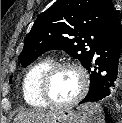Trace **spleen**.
<instances>
[{"label":"spleen","instance_id":"1","mask_svg":"<svg viewBox=\"0 0 122 123\" xmlns=\"http://www.w3.org/2000/svg\"><path fill=\"white\" fill-rule=\"evenodd\" d=\"M80 109L88 116L90 123H105L103 109L97 103H86Z\"/></svg>","mask_w":122,"mask_h":123}]
</instances>
